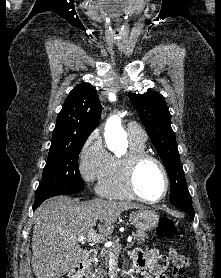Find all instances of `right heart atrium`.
<instances>
[{
    "mask_svg": "<svg viewBox=\"0 0 221 278\" xmlns=\"http://www.w3.org/2000/svg\"><path fill=\"white\" fill-rule=\"evenodd\" d=\"M111 165V154L106 149L101 134L95 130L89 134L78 155V171L88 184L99 183Z\"/></svg>",
    "mask_w": 221,
    "mask_h": 278,
    "instance_id": "obj_1",
    "label": "right heart atrium"
}]
</instances>
